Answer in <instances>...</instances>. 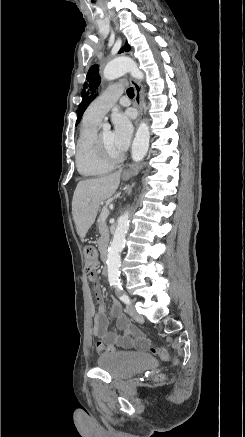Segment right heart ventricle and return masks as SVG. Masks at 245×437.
<instances>
[{"mask_svg":"<svg viewBox=\"0 0 245 437\" xmlns=\"http://www.w3.org/2000/svg\"><path fill=\"white\" fill-rule=\"evenodd\" d=\"M99 122L83 117L75 147V161L78 172L85 177H99L109 173L114 164L103 161L95 152L93 140Z\"/></svg>","mask_w":245,"mask_h":437,"instance_id":"1","label":"right heart ventricle"}]
</instances>
